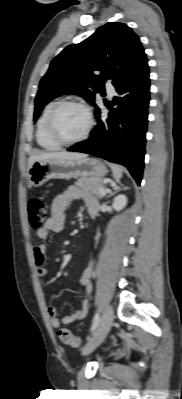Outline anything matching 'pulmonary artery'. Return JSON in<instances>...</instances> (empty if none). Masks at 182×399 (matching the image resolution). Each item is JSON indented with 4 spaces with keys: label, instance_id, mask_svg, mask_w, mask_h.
<instances>
[{
    "label": "pulmonary artery",
    "instance_id": "1",
    "mask_svg": "<svg viewBox=\"0 0 182 399\" xmlns=\"http://www.w3.org/2000/svg\"><path fill=\"white\" fill-rule=\"evenodd\" d=\"M106 89H107L108 93H109L111 96L115 95L116 90H115V88H114V86H113L112 83L108 82V83L106 84Z\"/></svg>",
    "mask_w": 182,
    "mask_h": 399
}]
</instances>
